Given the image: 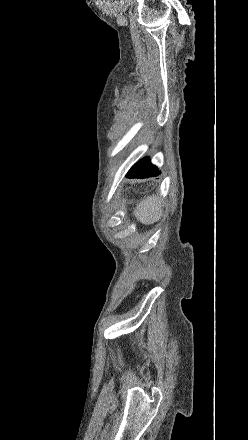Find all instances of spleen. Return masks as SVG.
<instances>
[{
  "label": "spleen",
  "instance_id": "obj_1",
  "mask_svg": "<svg viewBox=\"0 0 248 440\" xmlns=\"http://www.w3.org/2000/svg\"><path fill=\"white\" fill-rule=\"evenodd\" d=\"M134 215L143 224H153L161 219V202L154 195L148 196L137 204Z\"/></svg>",
  "mask_w": 248,
  "mask_h": 440
}]
</instances>
